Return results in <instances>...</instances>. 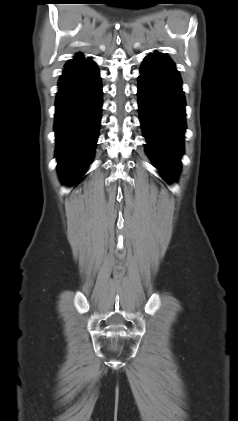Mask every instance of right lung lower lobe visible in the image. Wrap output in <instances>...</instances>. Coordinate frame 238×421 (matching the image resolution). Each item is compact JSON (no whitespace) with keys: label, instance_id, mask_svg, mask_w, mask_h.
Here are the masks:
<instances>
[{"label":"right lung lower lobe","instance_id":"1","mask_svg":"<svg viewBox=\"0 0 238 421\" xmlns=\"http://www.w3.org/2000/svg\"><path fill=\"white\" fill-rule=\"evenodd\" d=\"M102 87L95 62L78 54L59 80L54 130L61 180L76 183L91 164L98 137Z\"/></svg>","mask_w":238,"mask_h":421}]
</instances>
